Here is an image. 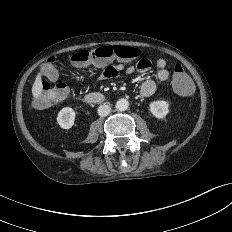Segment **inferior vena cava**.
Segmentation results:
<instances>
[{
    "label": "inferior vena cava",
    "instance_id": "obj_1",
    "mask_svg": "<svg viewBox=\"0 0 232 232\" xmlns=\"http://www.w3.org/2000/svg\"><path fill=\"white\" fill-rule=\"evenodd\" d=\"M110 111H111V107L109 105L104 104L98 107V114L101 117H105L109 115Z\"/></svg>",
    "mask_w": 232,
    "mask_h": 232
}]
</instances>
